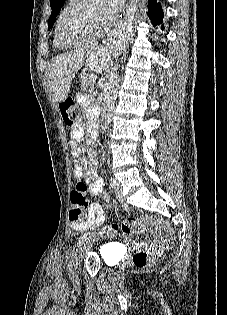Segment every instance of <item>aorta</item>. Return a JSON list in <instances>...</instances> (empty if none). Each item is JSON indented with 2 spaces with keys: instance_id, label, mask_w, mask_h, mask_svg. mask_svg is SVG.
Instances as JSON below:
<instances>
[{
  "instance_id": "1",
  "label": "aorta",
  "mask_w": 227,
  "mask_h": 315,
  "mask_svg": "<svg viewBox=\"0 0 227 315\" xmlns=\"http://www.w3.org/2000/svg\"><path fill=\"white\" fill-rule=\"evenodd\" d=\"M131 36V29H126L124 27L119 28L111 38V48L114 51L121 50L128 43ZM119 80L120 77L117 68H113L109 73L108 79L105 83V94L101 108V117L104 131L109 128L111 123Z\"/></svg>"
}]
</instances>
